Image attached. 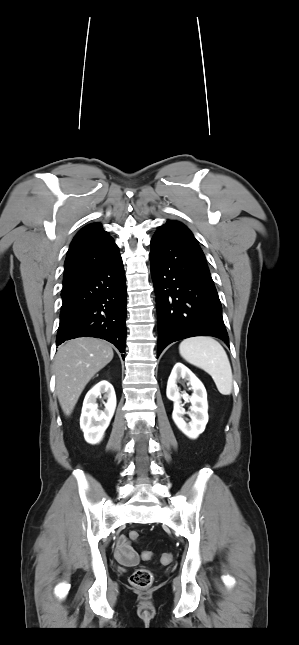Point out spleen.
I'll list each match as a JSON object with an SVG mask.
<instances>
[{
	"instance_id": "obj_1",
	"label": "spleen",
	"mask_w": 299,
	"mask_h": 645,
	"mask_svg": "<svg viewBox=\"0 0 299 645\" xmlns=\"http://www.w3.org/2000/svg\"><path fill=\"white\" fill-rule=\"evenodd\" d=\"M179 352L187 362L207 372L222 395L231 394V365L219 342L205 336L187 338L180 343Z\"/></svg>"
}]
</instances>
